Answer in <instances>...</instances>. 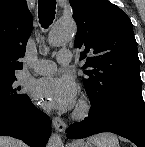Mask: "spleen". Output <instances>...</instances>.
<instances>
[{
  "label": "spleen",
  "instance_id": "3e777b00",
  "mask_svg": "<svg viewBox=\"0 0 145 147\" xmlns=\"http://www.w3.org/2000/svg\"><path fill=\"white\" fill-rule=\"evenodd\" d=\"M88 141L93 143L96 147H119L117 137L110 133H102L92 136Z\"/></svg>",
  "mask_w": 145,
  "mask_h": 147
}]
</instances>
